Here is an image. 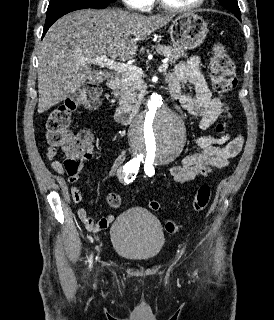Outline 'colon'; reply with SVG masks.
Segmentation results:
<instances>
[{"instance_id": "obj_1", "label": "colon", "mask_w": 274, "mask_h": 320, "mask_svg": "<svg viewBox=\"0 0 274 320\" xmlns=\"http://www.w3.org/2000/svg\"><path fill=\"white\" fill-rule=\"evenodd\" d=\"M209 73L215 89L221 94L230 93L236 85V68L229 52L217 44L212 51ZM98 88L87 85L77 91L73 97L53 109L47 120V136L49 149L60 146L65 154L63 166L68 175H76L82 168L94 147L92 132L80 130L71 131L69 125L75 113L82 109L93 110L98 105ZM221 130L223 125H221ZM211 190L208 185H201L194 195L192 207L194 211L204 210L210 200ZM109 203L115 209L121 207V197L117 194L109 195ZM149 209L162 212L161 204L156 200H149ZM165 230L169 234L179 231V224L174 220L165 222Z\"/></svg>"}]
</instances>
